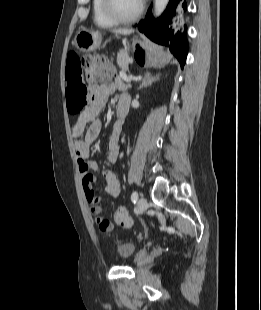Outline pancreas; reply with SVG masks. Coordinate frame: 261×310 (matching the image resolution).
<instances>
[{
  "mask_svg": "<svg viewBox=\"0 0 261 310\" xmlns=\"http://www.w3.org/2000/svg\"><path fill=\"white\" fill-rule=\"evenodd\" d=\"M130 62V59L128 57V54L124 50H120L118 55H117V63L121 67L123 71H126L128 69V64ZM121 89H125L126 86L122 84L120 86Z\"/></svg>",
  "mask_w": 261,
  "mask_h": 310,
  "instance_id": "obj_1",
  "label": "pancreas"
}]
</instances>
